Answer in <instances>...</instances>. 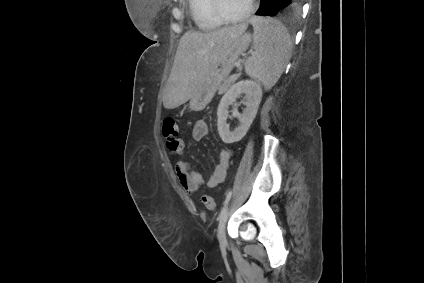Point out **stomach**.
I'll list each match as a JSON object with an SVG mask.
<instances>
[{
  "label": "stomach",
  "mask_w": 424,
  "mask_h": 283,
  "mask_svg": "<svg viewBox=\"0 0 424 283\" xmlns=\"http://www.w3.org/2000/svg\"><path fill=\"white\" fill-rule=\"evenodd\" d=\"M250 42L251 34L245 32L232 41L215 67L205 77L198 91L190 99L192 110L200 111L207 106L219 86L231 73L239 56L248 49Z\"/></svg>",
  "instance_id": "1"
}]
</instances>
